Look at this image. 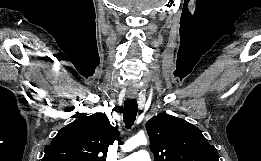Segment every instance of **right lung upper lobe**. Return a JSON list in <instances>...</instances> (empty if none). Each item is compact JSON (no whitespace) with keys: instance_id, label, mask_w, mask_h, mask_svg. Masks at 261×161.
Returning <instances> with one entry per match:
<instances>
[{"instance_id":"obj_1","label":"right lung upper lobe","mask_w":261,"mask_h":161,"mask_svg":"<svg viewBox=\"0 0 261 161\" xmlns=\"http://www.w3.org/2000/svg\"><path fill=\"white\" fill-rule=\"evenodd\" d=\"M117 139L108 117L95 113L81 117L62 128L50 145L45 147L42 161H103L109 145Z\"/></svg>"}]
</instances>
